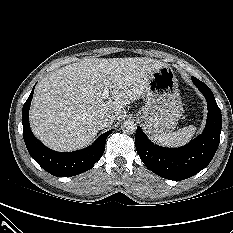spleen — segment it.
<instances>
[{
  "mask_svg": "<svg viewBox=\"0 0 233 233\" xmlns=\"http://www.w3.org/2000/svg\"><path fill=\"white\" fill-rule=\"evenodd\" d=\"M196 127L189 125L173 133H162L154 136V140L167 147H178L188 143L196 132Z\"/></svg>",
  "mask_w": 233,
  "mask_h": 233,
  "instance_id": "1",
  "label": "spleen"
}]
</instances>
